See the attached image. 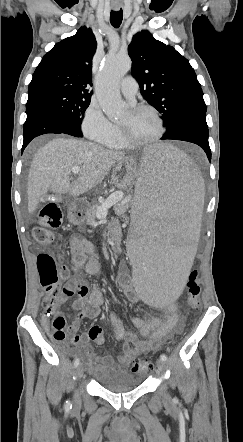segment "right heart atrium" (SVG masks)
Masks as SVG:
<instances>
[{
    "label": "right heart atrium",
    "mask_w": 243,
    "mask_h": 442,
    "mask_svg": "<svg viewBox=\"0 0 243 442\" xmlns=\"http://www.w3.org/2000/svg\"><path fill=\"white\" fill-rule=\"evenodd\" d=\"M115 126L108 120L97 102H91L84 112L81 129L84 136L98 143L108 139Z\"/></svg>",
    "instance_id": "d8ad5b80"
}]
</instances>
